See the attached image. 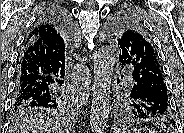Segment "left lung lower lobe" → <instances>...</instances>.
<instances>
[{
	"mask_svg": "<svg viewBox=\"0 0 184 133\" xmlns=\"http://www.w3.org/2000/svg\"><path fill=\"white\" fill-rule=\"evenodd\" d=\"M139 60V62H138ZM137 59L131 88L135 118H167L171 111L167 87L160 70ZM174 124V121L172 122Z\"/></svg>",
	"mask_w": 184,
	"mask_h": 133,
	"instance_id": "left-lung-lower-lobe-1",
	"label": "left lung lower lobe"
}]
</instances>
